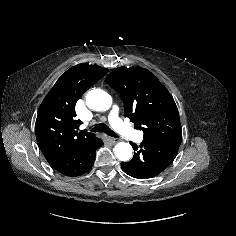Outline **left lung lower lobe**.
<instances>
[{"label":"left lung lower lobe","instance_id":"0a47b994","mask_svg":"<svg viewBox=\"0 0 236 236\" xmlns=\"http://www.w3.org/2000/svg\"><path fill=\"white\" fill-rule=\"evenodd\" d=\"M181 140H143L139 147L131 143L135 150L134 157L129 162H121L122 170L137 179H149L159 175L174 161Z\"/></svg>","mask_w":236,"mask_h":236}]
</instances>
